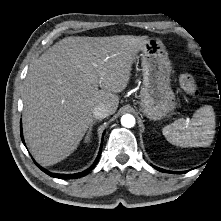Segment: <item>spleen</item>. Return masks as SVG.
Instances as JSON below:
<instances>
[{
    "instance_id": "3e777b00",
    "label": "spleen",
    "mask_w": 221,
    "mask_h": 221,
    "mask_svg": "<svg viewBox=\"0 0 221 221\" xmlns=\"http://www.w3.org/2000/svg\"><path fill=\"white\" fill-rule=\"evenodd\" d=\"M215 115L211 106L196 110L190 120L180 118L165 126L163 135L173 145L180 147H205L215 133Z\"/></svg>"
}]
</instances>
